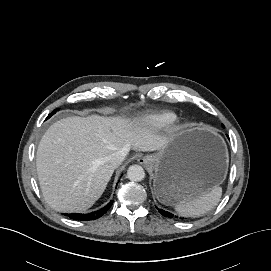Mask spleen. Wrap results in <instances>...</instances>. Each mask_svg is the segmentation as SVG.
Listing matches in <instances>:
<instances>
[{
  "instance_id": "3e777b00",
  "label": "spleen",
  "mask_w": 271,
  "mask_h": 271,
  "mask_svg": "<svg viewBox=\"0 0 271 271\" xmlns=\"http://www.w3.org/2000/svg\"><path fill=\"white\" fill-rule=\"evenodd\" d=\"M222 188L214 186L210 191L186 201H180L175 209L178 213L186 217L201 216L212 210L220 201Z\"/></svg>"
}]
</instances>
